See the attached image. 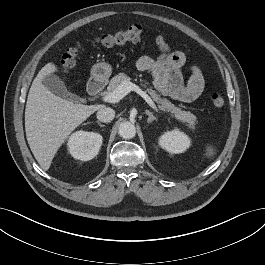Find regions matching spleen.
Returning <instances> with one entry per match:
<instances>
[{"instance_id":"1","label":"spleen","mask_w":265,"mask_h":265,"mask_svg":"<svg viewBox=\"0 0 265 265\" xmlns=\"http://www.w3.org/2000/svg\"><path fill=\"white\" fill-rule=\"evenodd\" d=\"M207 155H208V156H213V155H214V150H213V148L208 147V149H207Z\"/></svg>"}]
</instances>
